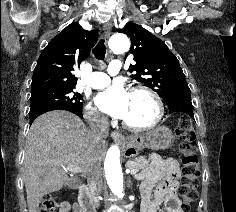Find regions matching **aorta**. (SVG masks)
I'll use <instances>...</instances> for the list:
<instances>
[{
  "mask_svg": "<svg viewBox=\"0 0 236 212\" xmlns=\"http://www.w3.org/2000/svg\"><path fill=\"white\" fill-rule=\"evenodd\" d=\"M109 47L113 53L122 54L129 50L130 41L123 33L114 34L109 40ZM104 169L110 190L119 200H122L124 197L123 173L120 164V149L117 145L109 148L105 158Z\"/></svg>",
  "mask_w": 236,
  "mask_h": 212,
  "instance_id": "1",
  "label": "aorta"
}]
</instances>
